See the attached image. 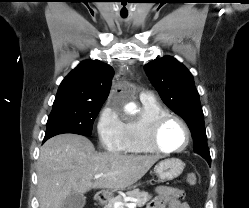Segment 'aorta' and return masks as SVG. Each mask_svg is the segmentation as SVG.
Masks as SVG:
<instances>
[{
  "label": "aorta",
  "mask_w": 249,
  "mask_h": 208,
  "mask_svg": "<svg viewBox=\"0 0 249 208\" xmlns=\"http://www.w3.org/2000/svg\"><path fill=\"white\" fill-rule=\"evenodd\" d=\"M133 108H135V105H134V104H129V105L127 106V109H129V110H131V109H133Z\"/></svg>",
  "instance_id": "762f6f07"
}]
</instances>
